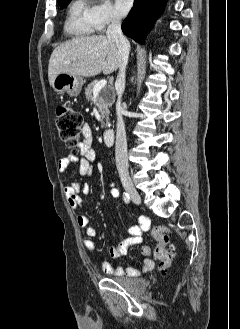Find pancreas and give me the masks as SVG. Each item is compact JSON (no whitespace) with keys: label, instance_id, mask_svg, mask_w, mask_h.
<instances>
[{"label":"pancreas","instance_id":"obj_1","mask_svg":"<svg viewBox=\"0 0 240 329\" xmlns=\"http://www.w3.org/2000/svg\"><path fill=\"white\" fill-rule=\"evenodd\" d=\"M97 81L91 82L88 87L85 89V95L86 99L88 101H91L93 103V88ZM113 96L110 93V90L105 88L103 89L100 94L97 96L95 103L99 109V112L101 113V128L103 127H109V108L113 104Z\"/></svg>","mask_w":240,"mask_h":329}]
</instances>
